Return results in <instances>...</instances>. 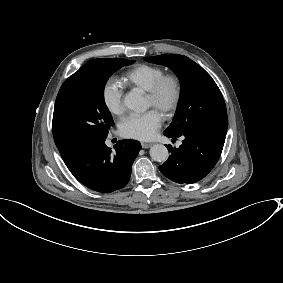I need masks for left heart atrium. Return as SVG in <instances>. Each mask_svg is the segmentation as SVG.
<instances>
[{
    "label": "left heart atrium",
    "mask_w": 283,
    "mask_h": 283,
    "mask_svg": "<svg viewBox=\"0 0 283 283\" xmlns=\"http://www.w3.org/2000/svg\"><path fill=\"white\" fill-rule=\"evenodd\" d=\"M162 123V113L149 109L142 114H130L120 124V134L128 138L149 140L155 137Z\"/></svg>",
    "instance_id": "left-heart-atrium-1"
}]
</instances>
